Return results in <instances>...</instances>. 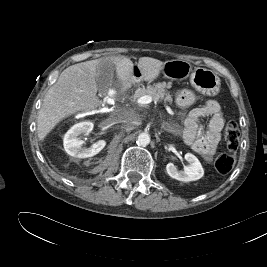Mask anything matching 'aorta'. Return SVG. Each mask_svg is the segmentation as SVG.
Returning a JSON list of instances; mask_svg holds the SVG:
<instances>
[{"mask_svg":"<svg viewBox=\"0 0 267 267\" xmlns=\"http://www.w3.org/2000/svg\"><path fill=\"white\" fill-rule=\"evenodd\" d=\"M137 143L141 146H147L150 143V135L146 132L140 133L137 138Z\"/></svg>","mask_w":267,"mask_h":267,"instance_id":"762f6f07","label":"aorta"}]
</instances>
